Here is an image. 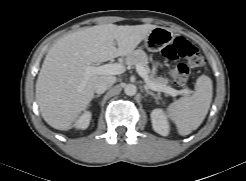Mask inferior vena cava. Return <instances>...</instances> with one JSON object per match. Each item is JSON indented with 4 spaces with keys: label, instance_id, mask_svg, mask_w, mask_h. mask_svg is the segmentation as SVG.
<instances>
[{
    "label": "inferior vena cava",
    "instance_id": "1",
    "mask_svg": "<svg viewBox=\"0 0 246 181\" xmlns=\"http://www.w3.org/2000/svg\"><path fill=\"white\" fill-rule=\"evenodd\" d=\"M116 82V78L113 76H101L95 84L94 91L97 94L104 93Z\"/></svg>",
    "mask_w": 246,
    "mask_h": 181
}]
</instances>
